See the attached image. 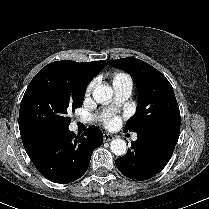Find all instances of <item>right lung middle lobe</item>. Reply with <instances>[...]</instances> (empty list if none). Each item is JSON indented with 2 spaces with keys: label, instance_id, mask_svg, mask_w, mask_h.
I'll use <instances>...</instances> for the list:
<instances>
[{
  "label": "right lung middle lobe",
  "instance_id": "obj_1",
  "mask_svg": "<svg viewBox=\"0 0 209 209\" xmlns=\"http://www.w3.org/2000/svg\"><path fill=\"white\" fill-rule=\"evenodd\" d=\"M89 81L79 66L53 62L38 72L22 98L19 124L29 130L56 135L68 129V113L83 104Z\"/></svg>",
  "mask_w": 209,
  "mask_h": 209
}]
</instances>
